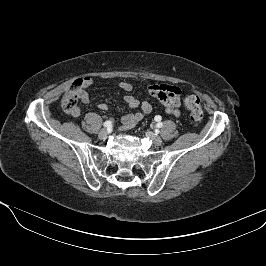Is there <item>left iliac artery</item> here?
<instances>
[{
    "instance_id": "obj_1",
    "label": "left iliac artery",
    "mask_w": 266,
    "mask_h": 266,
    "mask_svg": "<svg viewBox=\"0 0 266 266\" xmlns=\"http://www.w3.org/2000/svg\"><path fill=\"white\" fill-rule=\"evenodd\" d=\"M155 118L157 121L161 120V116H156ZM156 126H157V128H161L163 126V124H162V122L159 121Z\"/></svg>"
}]
</instances>
